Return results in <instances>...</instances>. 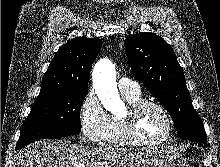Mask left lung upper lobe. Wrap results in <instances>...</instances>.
<instances>
[{
	"instance_id": "left-lung-upper-lobe-1",
	"label": "left lung upper lobe",
	"mask_w": 220,
	"mask_h": 167,
	"mask_svg": "<svg viewBox=\"0 0 220 167\" xmlns=\"http://www.w3.org/2000/svg\"><path fill=\"white\" fill-rule=\"evenodd\" d=\"M125 52L132 73L169 112L180 138L206 142L203 123L192 105L172 47L154 33L141 32L126 38Z\"/></svg>"
}]
</instances>
